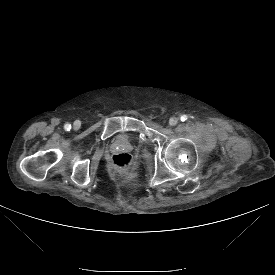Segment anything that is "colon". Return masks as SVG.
Masks as SVG:
<instances>
[{
	"instance_id": "colon-1",
	"label": "colon",
	"mask_w": 275,
	"mask_h": 275,
	"mask_svg": "<svg viewBox=\"0 0 275 275\" xmlns=\"http://www.w3.org/2000/svg\"><path fill=\"white\" fill-rule=\"evenodd\" d=\"M110 163L113 167L118 169H127L132 164V157L130 154L121 152L112 155Z\"/></svg>"
}]
</instances>
